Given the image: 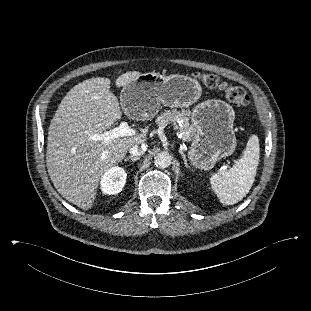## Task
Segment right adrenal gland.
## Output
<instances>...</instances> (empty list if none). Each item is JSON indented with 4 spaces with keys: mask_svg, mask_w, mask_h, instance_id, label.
<instances>
[{
    "mask_svg": "<svg viewBox=\"0 0 311 311\" xmlns=\"http://www.w3.org/2000/svg\"><path fill=\"white\" fill-rule=\"evenodd\" d=\"M139 159H140L139 156H136V157H134V156H129V157H126V158L124 159V161L127 162V161L131 160L132 162H135V161H138Z\"/></svg>",
    "mask_w": 311,
    "mask_h": 311,
    "instance_id": "2a0ac1e0",
    "label": "right adrenal gland"
}]
</instances>
